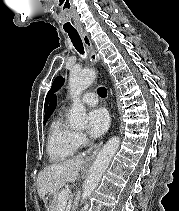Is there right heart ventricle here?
Returning <instances> with one entry per match:
<instances>
[{
  "mask_svg": "<svg viewBox=\"0 0 179 211\" xmlns=\"http://www.w3.org/2000/svg\"><path fill=\"white\" fill-rule=\"evenodd\" d=\"M75 131L64 121L61 114L51 122L47 140L49 159L54 162H63L71 158L77 151Z\"/></svg>",
  "mask_w": 179,
  "mask_h": 211,
  "instance_id": "e07e8e85",
  "label": "right heart ventricle"
}]
</instances>
